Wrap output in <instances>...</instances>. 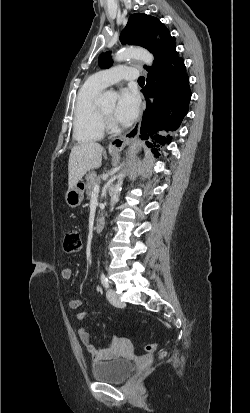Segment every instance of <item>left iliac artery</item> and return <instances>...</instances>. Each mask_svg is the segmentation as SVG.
<instances>
[{
	"label": "left iliac artery",
	"mask_w": 250,
	"mask_h": 413,
	"mask_svg": "<svg viewBox=\"0 0 250 413\" xmlns=\"http://www.w3.org/2000/svg\"><path fill=\"white\" fill-rule=\"evenodd\" d=\"M100 279H101L102 285H103L105 288H109V281H108V279H107V277L105 276L104 273L101 274Z\"/></svg>",
	"instance_id": "44dca946"
}]
</instances>
